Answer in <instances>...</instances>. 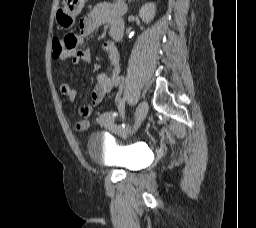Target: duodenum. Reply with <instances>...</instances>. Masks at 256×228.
Instances as JSON below:
<instances>
[{"label":"duodenum","mask_w":256,"mask_h":228,"mask_svg":"<svg viewBox=\"0 0 256 228\" xmlns=\"http://www.w3.org/2000/svg\"><path fill=\"white\" fill-rule=\"evenodd\" d=\"M112 35L115 39H119L121 38L122 36V33H121V30L117 29V28H114L113 29V32H112Z\"/></svg>","instance_id":"410a0bca"}]
</instances>
